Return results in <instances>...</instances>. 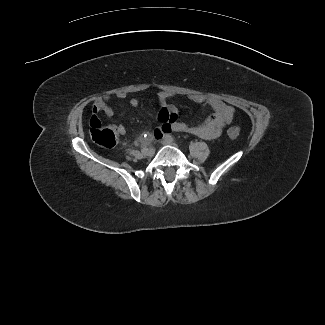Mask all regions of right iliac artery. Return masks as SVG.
I'll return each instance as SVG.
<instances>
[{
  "label": "right iliac artery",
  "instance_id": "obj_1",
  "mask_svg": "<svg viewBox=\"0 0 325 325\" xmlns=\"http://www.w3.org/2000/svg\"><path fill=\"white\" fill-rule=\"evenodd\" d=\"M147 150H148L147 146L144 145V146L142 147V152L145 153Z\"/></svg>",
  "mask_w": 325,
  "mask_h": 325
}]
</instances>
